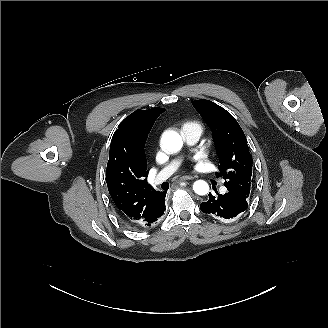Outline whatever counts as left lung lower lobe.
<instances>
[{
    "label": "left lung lower lobe",
    "instance_id": "left-lung-lower-lobe-1",
    "mask_svg": "<svg viewBox=\"0 0 328 328\" xmlns=\"http://www.w3.org/2000/svg\"><path fill=\"white\" fill-rule=\"evenodd\" d=\"M247 207L246 199L229 191L224 195L218 194L216 197L209 193V200L200 205L203 213L226 222L240 215Z\"/></svg>",
    "mask_w": 328,
    "mask_h": 328
}]
</instances>
